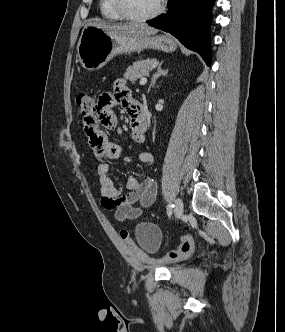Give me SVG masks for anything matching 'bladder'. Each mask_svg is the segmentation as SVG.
I'll list each match as a JSON object with an SVG mask.
<instances>
[{"mask_svg": "<svg viewBox=\"0 0 285 332\" xmlns=\"http://www.w3.org/2000/svg\"><path fill=\"white\" fill-rule=\"evenodd\" d=\"M136 239L139 245L147 251H154L158 248L161 235L159 229L151 223H141L135 230Z\"/></svg>", "mask_w": 285, "mask_h": 332, "instance_id": "1", "label": "bladder"}]
</instances>
